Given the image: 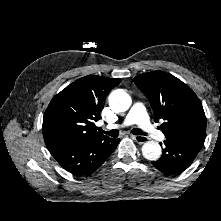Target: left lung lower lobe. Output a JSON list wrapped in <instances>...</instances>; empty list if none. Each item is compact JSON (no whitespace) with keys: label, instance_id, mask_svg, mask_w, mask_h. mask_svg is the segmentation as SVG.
<instances>
[{"label":"left lung lower lobe","instance_id":"1","mask_svg":"<svg viewBox=\"0 0 221 221\" xmlns=\"http://www.w3.org/2000/svg\"><path fill=\"white\" fill-rule=\"evenodd\" d=\"M204 140L205 135L166 138L162 157L152 164L166 175L179 174L192 164L202 148Z\"/></svg>","mask_w":221,"mask_h":221}]
</instances>
